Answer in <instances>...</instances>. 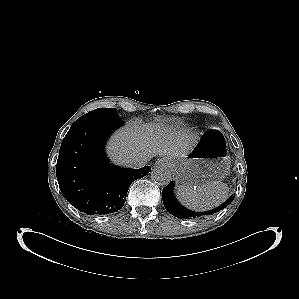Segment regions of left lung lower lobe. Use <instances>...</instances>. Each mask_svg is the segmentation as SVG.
Returning <instances> with one entry per match:
<instances>
[{"instance_id": "0a47b994", "label": "left lung lower lobe", "mask_w": 299, "mask_h": 299, "mask_svg": "<svg viewBox=\"0 0 299 299\" xmlns=\"http://www.w3.org/2000/svg\"><path fill=\"white\" fill-rule=\"evenodd\" d=\"M174 182H170L164 189L162 190V200L164 206L168 212H170L173 216L180 219H192L198 216L210 215L217 211H220L227 207L234 199V195L228 198L226 202L218 206L217 208L207 211V212H194L185 207H183L175 198L173 194Z\"/></svg>"}]
</instances>
